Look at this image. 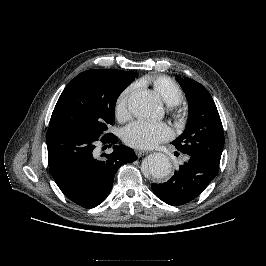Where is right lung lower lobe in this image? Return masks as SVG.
I'll use <instances>...</instances> for the list:
<instances>
[{
	"label": "right lung lower lobe",
	"instance_id": "obj_1",
	"mask_svg": "<svg viewBox=\"0 0 266 266\" xmlns=\"http://www.w3.org/2000/svg\"><path fill=\"white\" fill-rule=\"evenodd\" d=\"M49 170L63 194L84 208H94L109 195L120 166L137 159L134 151L115 145L111 154L94 157L102 143L117 142L112 133L96 138L74 130L49 128L47 131Z\"/></svg>",
	"mask_w": 266,
	"mask_h": 266
}]
</instances>
